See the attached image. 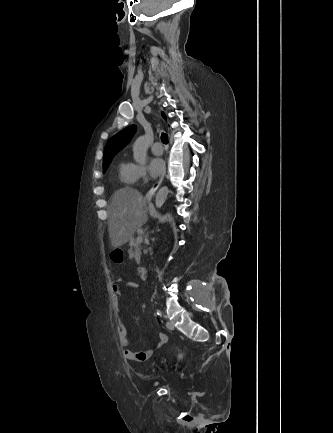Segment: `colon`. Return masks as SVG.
Instances as JSON below:
<instances>
[{"mask_svg": "<svg viewBox=\"0 0 333 433\" xmlns=\"http://www.w3.org/2000/svg\"><path fill=\"white\" fill-rule=\"evenodd\" d=\"M111 257L113 258L114 265H123L124 263V250L123 249H112Z\"/></svg>", "mask_w": 333, "mask_h": 433, "instance_id": "1", "label": "colon"}]
</instances>
